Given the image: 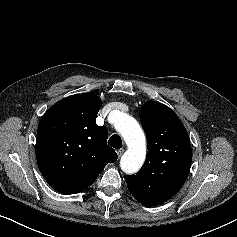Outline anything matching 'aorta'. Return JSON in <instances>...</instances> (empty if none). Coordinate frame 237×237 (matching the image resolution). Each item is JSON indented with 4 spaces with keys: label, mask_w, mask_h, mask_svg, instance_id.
<instances>
[{
    "label": "aorta",
    "mask_w": 237,
    "mask_h": 237,
    "mask_svg": "<svg viewBox=\"0 0 237 237\" xmlns=\"http://www.w3.org/2000/svg\"><path fill=\"white\" fill-rule=\"evenodd\" d=\"M116 130L123 136L127 151L121 158V169L127 174L137 172L143 165L146 157V138L138 122L130 115L115 111Z\"/></svg>",
    "instance_id": "762f6f07"
}]
</instances>
